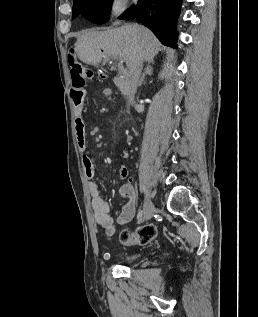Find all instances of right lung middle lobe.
Returning a JSON list of instances; mask_svg holds the SVG:
<instances>
[{
    "label": "right lung middle lobe",
    "mask_w": 258,
    "mask_h": 317,
    "mask_svg": "<svg viewBox=\"0 0 258 317\" xmlns=\"http://www.w3.org/2000/svg\"><path fill=\"white\" fill-rule=\"evenodd\" d=\"M113 0H74L72 18L82 15L87 20L104 24L109 19Z\"/></svg>",
    "instance_id": "dd1d6c3e"
}]
</instances>
